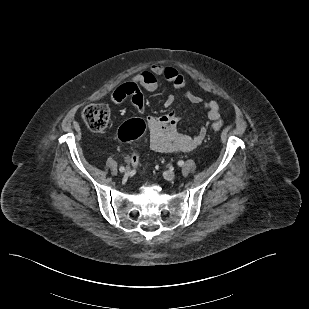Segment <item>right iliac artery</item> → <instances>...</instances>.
Here are the masks:
<instances>
[{"label":"right iliac artery","instance_id":"1","mask_svg":"<svg viewBox=\"0 0 309 309\" xmlns=\"http://www.w3.org/2000/svg\"><path fill=\"white\" fill-rule=\"evenodd\" d=\"M124 170H125V168H124L123 166H121V167L119 168V171H120V172H124Z\"/></svg>","mask_w":309,"mask_h":309}]
</instances>
